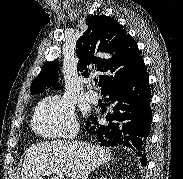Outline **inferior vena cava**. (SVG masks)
<instances>
[{"label":"inferior vena cava","instance_id":"602c4592","mask_svg":"<svg viewBox=\"0 0 183 179\" xmlns=\"http://www.w3.org/2000/svg\"><path fill=\"white\" fill-rule=\"evenodd\" d=\"M74 137H75V134H71V135L67 136V139L69 141V140H72Z\"/></svg>","mask_w":183,"mask_h":179}]
</instances>
